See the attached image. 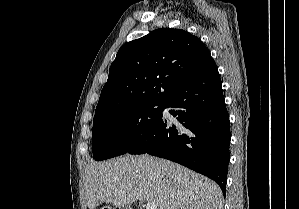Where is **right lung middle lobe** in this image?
<instances>
[{"label": "right lung middle lobe", "mask_w": 299, "mask_h": 209, "mask_svg": "<svg viewBox=\"0 0 299 209\" xmlns=\"http://www.w3.org/2000/svg\"><path fill=\"white\" fill-rule=\"evenodd\" d=\"M164 102L124 105L94 116L92 151L95 160L127 153L162 116Z\"/></svg>", "instance_id": "1"}]
</instances>
